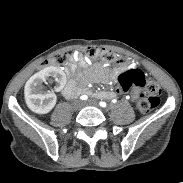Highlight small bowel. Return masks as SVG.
Segmentation results:
<instances>
[{"instance_id":"c3829d8e","label":"small bowel","mask_w":183,"mask_h":183,"mask_svg":"<svg viewBox=\"0 0 183 183\" xmlns=\"http://www.w3.org/2000/svg\"><path fill=\"white\" fill-rule=\"evenodd\" d=\"M79 64L82 66V67H86L87 66V63L80 59L79 60ZM99 72L103 73V74H108V71L107 70H103V69H97ZM122 69H119L117 71H115L113 73V76H117L120 72H121ZM93 96L96 97V98H106V99H110L112 97H114V93L113 92H109V91H96L93 93Z\"/></svg>"}]
</instances>
